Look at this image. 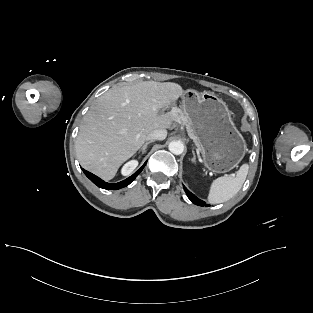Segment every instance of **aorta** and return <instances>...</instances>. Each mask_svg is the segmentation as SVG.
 Returning <instances> with one entry per match:
<instances>
[{
    "label": "aorta",
    "mask_w": 313,
    "mask_h": 313,
    "mask_svg": "<svg viewBox=\"0 0 313 313\" xmlns=\"http://www.w3.org/2000/svg\"><path fill=\"white\" fill-rule=\"evenodd\" d=\"M169 150L175 155H180L184 151V145L180 141H172L169 143Z\"/></svg>",
    "instance_id": "762f6f07"
}]
</instances>
